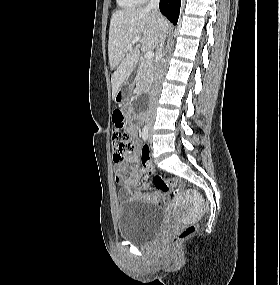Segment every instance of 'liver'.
Returning a JSON list of instances; mask_svg holds the SVG:
<instances>
[{
    "mask_svg": "<svg viewBox=\"0 0 280 285\" xmlns=\"http://www.w3.org/2000/svg\"><path fill=\"white\" fill-rule=\"evenodd\" d=\"M169 22L153 10L145 7L129 8L113 13L109 28L108 56L111 77L112 98L121 85L129 78L137 65L142 51H153L159 44V38L167 33ZM135 37L141 41L131 50L127 46Z\"/></svg>",
    "mask_w": 280,
    "mask_h": 285,
    "instance_id": "obj_1",
    "label": "liver"
}]
</instances>
